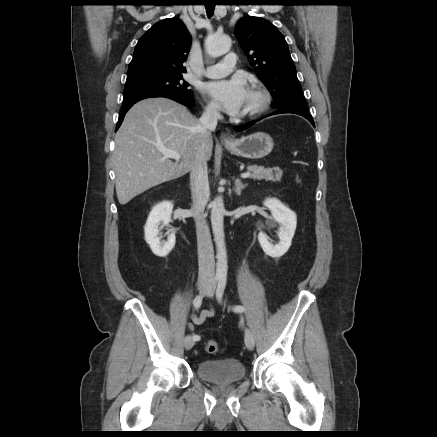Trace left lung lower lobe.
<instances>
[{"label": "left lung lower lobe", "instance_id": "left-lung-lower-lobe-1", "mask_svg": "<svg viewBox=\"0 0 437 437\" xmlns=\"http://www.w3.org/2000/svg\"><path fill=\"white\" fill-rule=\"evenodd\" d=\"M280 113H294V114H298V115H300V116H302V117H304V118H306L314 127H315V124H314V121H313V118H312V116L309 114V112L308 111H303V110H300V109H295V108H286V109H280V110H278V111H276V112H274V113H272V114H270V115H273V114H280ZM253 124H244V125H241V126H238V127H236L235 129L236 130H238V131H242V130H245L246 128H248V127H250V126H252Z\"/></svg>", "mask_w": 437, "mask_h": 437}]
</instances>
